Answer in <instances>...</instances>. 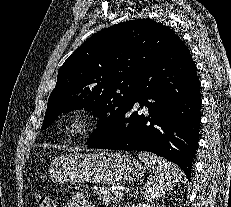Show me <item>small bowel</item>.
I'll return each mask as SVG.
<instances>
[{
    "label": "small bowel",
    "instance_id": "small-bowel-1",
    "mask_svg": "<svg viewBox=\"0 0 231 207\" xmlns=\"http://www.w3.org/2000/svg\"><path fill=\"white\" fill-rule=\"evenodd\" d=\"M64 207H96L86 197L76 194L73 195L65 204Z\"/></svg>",
    "mask_w": 231,
    "mask_h": 207
}]
</instances>
